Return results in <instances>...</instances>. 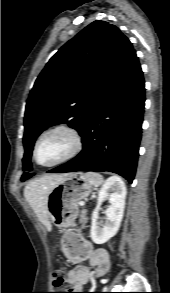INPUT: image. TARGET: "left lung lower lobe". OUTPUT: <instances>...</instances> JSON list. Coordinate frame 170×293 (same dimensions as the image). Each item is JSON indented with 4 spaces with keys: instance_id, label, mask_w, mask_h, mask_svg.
Here are the masks:
<instances>
[{
    "instance_id": "1",
    "label": "left lung lower lobe",
    "mask_w": 170,
    "mask_h": 293,
    "mask_svg": "<svg viewBox=\"0 0 170 293\" xmlns=\"http://www.w3.org/2000/svg\"><path fill=\"white\" fill-rule=\"evenodd\" d=\"M144 102L143 73L133 50L80 133L83 150L48 172L109 171L132 183L139 156Z\"/></svg>"
}]
</instances>
